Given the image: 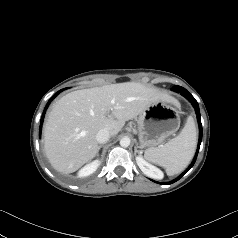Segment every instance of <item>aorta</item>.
Instances as JSON below:
<instances>
[{
	"label": "aorta",
	"mask_w": 238,
	"mask_h": 238,
	"mask_svg": "<svg viewBox=\"0 0 238 238\" xmlns=\"http://www.w3.org/2000/svg\"><path fill=\"white\" fill-rule=\"evenodd\" d=\"M130 139L128 137H124L120 140V145L122 147H128L130 145Z\"/></svg>",
	"instance_id": "1"
}]
</instances>
